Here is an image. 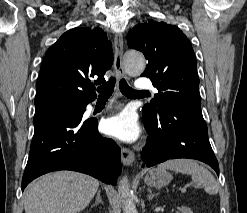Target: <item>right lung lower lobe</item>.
<instances>
[{
    "label": "right lung lower lobe",
    "instance_id": "1",
    "mask_svg": "<svg viewBox=\"0 0 247 213\" xmlns=\"http://www.w3.org/2000/svg\"><path fill=\"white\" fill-rule=\"evenodd\" d=\"M77 103L83 106L84 113L89 102ZM34 126L22 191L33 179L56 170L82 172L104 183H117L121 173L120 149L113 140L98 133L97 121L41 113L34 116Z\"/></svg>",
    "mask_w": 247,
    "mask_h": 213
}]
</instances>
